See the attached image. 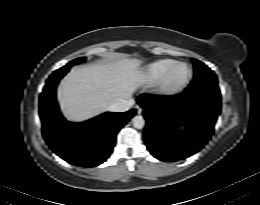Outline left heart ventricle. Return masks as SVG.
Returning a JSON list of instances; mask_svg holds the SVG:
<instances>
[{"mask_svg": "<svg viewBox=\"0 0 260 205\" xmlns=\"http://www.w3.org/2000/svg\"><path fill=\"white\" fill-rule=\"evenodd\" d=\"M188 76V69L186 66H178L176 67L169 77V84L174 86L181 84L186 80Z\"/></svg>", "mask_w": 260, "mask_h": 205, "instance_id": "left-heart-ventricle-1", "label": "left heart ventricle"}]
</instances>
